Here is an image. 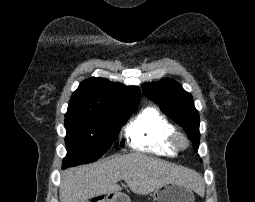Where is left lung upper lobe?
<instances>
[{
    "label": "left lung upper lobe",
    "instance_id": "obj_1",
    "mask_svg": "<svg viewBox=\"0 0 255 202\" xmlns=\"http://www.w3.org/2000/svg\"><path fill=\"white\" fill-rule=\"evenodd\" d=\"M142 88L149 99L161 105V110L185 129L193 142L194 150L197 151L200 140L199 114L191 94L169 78L144 84Z\"/></svg>",
    "mask_w": 255,
    "mask_h": 202
}]
</instances>
